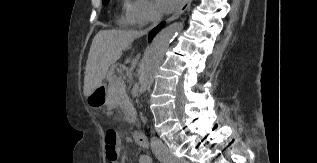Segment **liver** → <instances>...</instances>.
Returning <instances> with one entry per match:
<instances>
[{
	"label": "liver",
	"instance_id": "obj_1",
	"mask_svg": "<svg viewBox=\"0 0 317 163\" xmlns=\"http://www.w3.org/2000/svg\"><path fill=\"white\" fill-rule=\"evenodd\" d=\"M141 35L140 32L125 30H101L95 35L85 67L83 89L85 97L102 85L109 66L115 63L121 57L123 50L129 48ZM129 61L130 58L126 63Z\"/></svg>",
	"mask_w": 317,
	"mask_h": 163
}]
</instances>
